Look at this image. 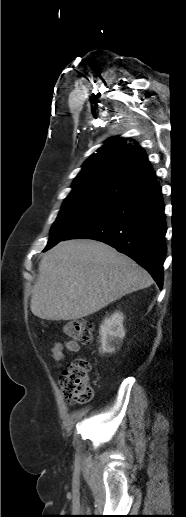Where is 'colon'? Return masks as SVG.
<instances>
[{
  "label": "colon",
  "mask_w": 186,
  "mask_h": 517,
  "mask_svg": "<svg viewBox=\"0 0 186 517\" xmlns=\"http://www.w3.org/2000/svg\"><path fill=\"white\" fill-rule=\"evenodd\" d=\"M63 333L73 341L90 343L93 339L94 324L86 319L71 320L63 325ZM90 363L85 358L71 361L62 371L59 385L65 399L70 404H84L93 395L89 378Z\"/></svg>",
  "instance_id": "colon-1"
}]
</instances>
